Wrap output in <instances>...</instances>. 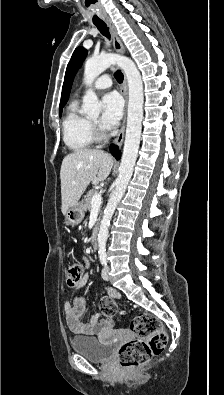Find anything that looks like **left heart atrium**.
<instances>
[{"instance_id":"39dd6f15","label":"left heart atrium","mask_w":224,"mask_h":395,"mask_svg":"<svg viewBox=\"0 0 224 395\" xmlns=\"http://www.w3.org/2000/svg\"><path fill=\"white\" fill-rule=\"evenodd\" d=\"M103 113L101 116V124L105 129H112L121 119L123 112V101L116 92H110L103 96Z\"/></svg>"}]
</instances>
